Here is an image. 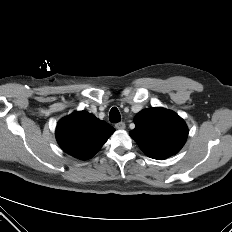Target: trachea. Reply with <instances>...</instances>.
Instances as JSON below:
<instances>
[{
    "instance_id": "3493384b",
    "label": "trachea",
    "mask_w": 232,
    "mask_h": 232,
    "mask_svg": "<svg viewBox=\"0 0 232 232\" xmlns=\"http://www.w3.org/2000/svg\"><path fill=\"white\" fill-rule=\"evenodd\" d=\"M109 120L112 123H118L121 121V115L116 107H113L109 113Z\"/></svg>"
}]
</instances>
